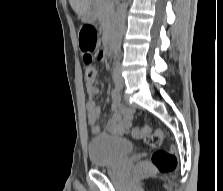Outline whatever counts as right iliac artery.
I'll return each instance as SVG.
<instances>
[{
	"label": "right iliac artery",
	"instance_id": "right-iliac-artery-1",
	"mask_svg": "<svg viewBox=\"0 0 223 191\" xmlns=\"http://www.w3.org/2000/svg\"><path fill=\"white\" fill-rule=\"evenodd\" d=\"M111 96H112L113 99L120 100V98H121L120 90L117 87L113 88V90L111 92Z\"/></svg>",
	"mask_w": 223,
	"mask_h": 191
}]
</instances>
